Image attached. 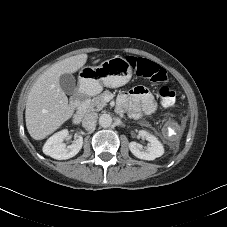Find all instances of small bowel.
<instances>
[{
	"instance_id": "small-bowel-1",
	"label": "small bowel",
	"mask_w": 227,
	"mask_h": 227,
	"mask_svg": "<svg viewBox=\"0 0 227 227\" xmlns=\"http://www.w3.org/2000/svg\"><path fill=\"white\" fill-rule=\"evenodd\" d=\"M118 106L133 118L143 114H152L157 105L149 91L143 86H137L129 91H123L118 96Z\"/></svg>"
}]
</instances>
